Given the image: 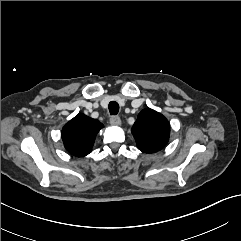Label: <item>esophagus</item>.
I'll return each instance as SVG.
<instances>
[{
	"label": "esophagus",
	"mask_w": 241,
	"mask_h": 241,
	"mask_svg": "<svg viewBox=\"0 0 241 241\" xmlns=\"http://www.w3.org/2000/svg\"><path fill=\"white\" fill-rule=\"evenodd\" d=\"M110 124L111 125H120L121 124V120H120L119 116H112L110 118Z\"/></svg>",
	"instance_id": "obj_1"
}]
</instances>
